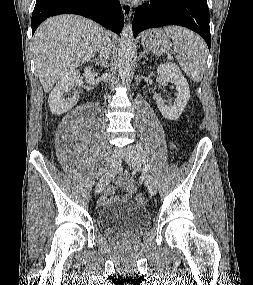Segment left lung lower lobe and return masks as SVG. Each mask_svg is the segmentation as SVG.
<instances>
[{"label":"left lung lower lobe","instance_id":"0a47b994","mask_svg":"<svg viewBox=\"0 0 253 285\" xmlns=\"http://www.w3.org/2000/svg\"><path fill=\"white\" fill-rule=\"evenodd\" d=\"M209 9L206 0H157L136 8L133 34L163 25H179L197 32L211 47Z\"/></svg>","mask_w":253,"mask_h":285}]
</instances>
